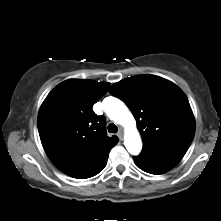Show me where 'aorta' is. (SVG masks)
I'll return each instance as SVG.
<instances>
[{"label":"aorta","mask_w":221,"mask_h":221,"mask_svg":"<svg viewBox=\"0 0 221 221\" xmlns=\"http://www.w3.org/2000/svg\"><path fill=\"white\" fill-rule=\"evenodd\" d=\"M103 106L111 120L125 127L124 145L127 151L132 155H138L142 149V141L136 128L135 119L127 106L114 97L106 98L103 101Z\"/></svg>","instance_id":"1"}]
</instances>
